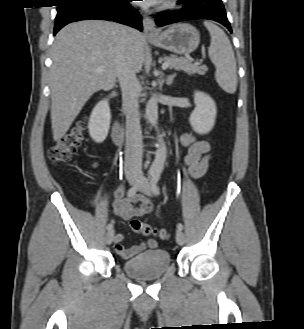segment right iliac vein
<instances>
[{
  "instance_id": "obj_1",
  "label": "right iliac vein",
  "mask_w": 304,
  "mask_h": 329,
  "mask_svg": "<svg viewBox=\"0 0 304 329\" xmlns=\"http://www.w3.org/2000/svg\"><path fill=\"white\" fill-rule=\"evenodd\" d=\"M136 182H137V179H136L135 177H130V178H129V183H130L131 185H135ZM113 239H114V230L111 229V230H109V231L107 232V234H106V243H107L108 245L111 244V243L113 242Z\"/></svg>"
}]
</instances>
